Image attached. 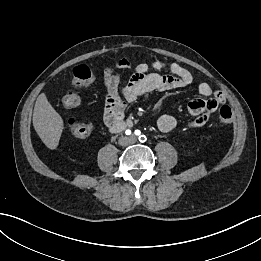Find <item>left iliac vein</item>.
I'll use <instances>...</instances> for the list:
<instances>
[{"instance_id":"left-iliac-vein-1","label":"left iliac vein","mask_w":261,"mask_h":261,"mask_svg":"<svg viewBox=\"0 0 261 261\" xmlns=\"http://www.w3.org/2000/svg\"><path fill=\"white\" fill-rule=\"evenodd\" d=\"M130 139H131L132 141H136V138H135L134 136H131Z\"/></svg>"}]
</instances>
